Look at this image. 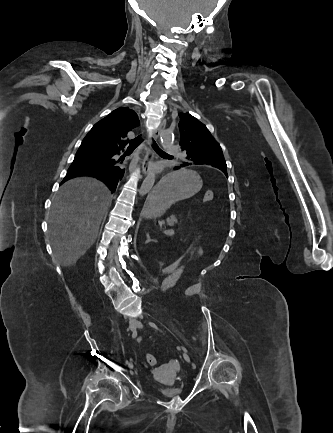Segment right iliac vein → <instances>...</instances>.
Returning <instances> with one entry per match:
<instances>
[{
  "instance_id": "right-iliac-vein-1",
  "label": "right iliac vein",
  "mask_w": 333,
  "mask_h": 433,
  "mask_svg": "<svg viewBox=\"0 0 333 433\" xmlns=\"http://www.w3.org/2000/svg\"><path fill=\"white\" fill-rule=\"evenodd\" d=\"M129 327H130V329H131L132 331H134V330L136 329V325H135L134 323H131ZM128 366H129L130 369L133 368V364H132V363L129 364Z\"/></svg>"
}]
</instances>
